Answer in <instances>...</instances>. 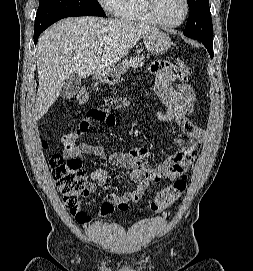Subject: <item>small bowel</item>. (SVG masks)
I'll return each mask as SVG.
<instances>
[{"mask_svg": "<svg viewBox=\"0 0 253 271\" xmlns=\"http://www.w3.org/2000/svg\"><path fill=\"white\" fill-rule=\"evenodd\" d=\"M151 72L155 75V90L166 106L165 111L156 113V119L161 123L174 122L181 128L183 137L178 140L180 150L159 166H151L148 163L151 151L147 147H138L128 153H113L109 159L110 164L129 170L130 179L135 184V188L123 195L106 194V202L100 210L101 216L110 214L114 209L113 206L121 200L139 201L151 182L174 180L179 177L186 178L185 174L193 166L200 143L205 137L204 131L190 120L195 103L193 90L185 82L178 86L175 85L176 81H183L188 73L177 69L168 62L155 63L151 67ZM93 124L112 128L115 126V117L109 112L103 120H97L88 115L78 124L75 131L62 137L65 156L91 155L101 158L104 156L106 150L104 144L92 145L76 141L77 137L86 133ZM90 178L92 180L90 190L93 191L97 185L108 184L110 176L108 171L96 169L90 173ZM105 204H108L109 207H105Z\"/></svg>", "mask_w": 253, "mask_h": 271, "instance_id": "c3829d8e", "label": "small bowel"}]
</instances>
